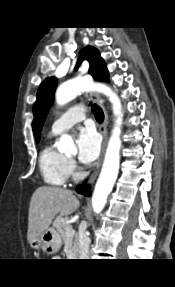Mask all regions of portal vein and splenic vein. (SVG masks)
I'll use <instances>...</instances> for the list:
<instances>
[{
	"instance_id": "portal-vein-and-splenic-vein-1",
	"label": "portal vein and splenic vein",
	"mask_w": 175,
	"mask_h": 287,
	"mask_svg": "<svg viewBox=\"0 0 175 287\" xmlns=\"http://www.w3.org/2000/svg\"><path fill=\"white\" fill-rule=\"evenodd\" d=\"M74 233H75V231L72 230V229H69V230L66 231L67 236H71V235H73Z\"/></svg>"
}]
</instances>
